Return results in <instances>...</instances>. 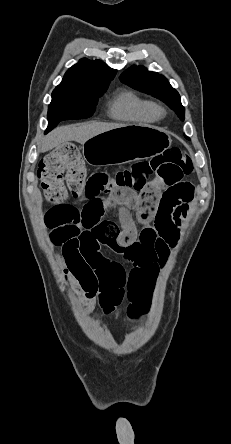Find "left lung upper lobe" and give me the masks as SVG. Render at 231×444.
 Segmentation results:
<instances>
[{
	"instance_id": "5c2ea615",
	"label": "left lung upper lobe",
	"mask_w": 231,
	"mask_h": 444,
	"mask_svg": "<svg viewBox=\"0 0 231 444\" xmlns=\"http://www.w3.org/2000/svg\"><path fill=\"white\" fill-rule=\"evenodd\" d=\"M120 80L136 90L162 100L173 109L182 120L185 119V108L181 104L180 95L172 88L163 75H159L156 72H149L142 66H132L120 76Z\"/></svg>"
}]
</instances>
